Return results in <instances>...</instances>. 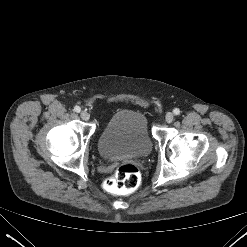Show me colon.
<instances>
[{"label": "colon", "instance_id": "5ec220e1", "mask_svg": "<svg viewBox=\"0 0 247 247\" xmlns=\"http://www.w3.org/2000/svg\"><path fill=\"white\" fill-rule=\"evenodd\" d=\"M141 182L139 169L134 164H122L105 181V188L113 193L127 194L138 188Z\"/></svg>", "mask_w": 247, "mask_h": 247}]
</instances>
